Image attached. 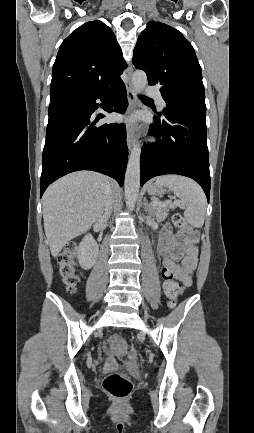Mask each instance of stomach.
Returning <instances> with one entry per match:
<instances>
[{"label":"stomach","instance_id":"obj_1","mask_svg":"<svg viewBox=\"0 0 254 433\" xmlns=\"http://www.w3.org/2000/svg\"><path fill=\"white\" fill-rule=\"evenodd\" d=\"M148 193L150 195H162L165 193V189L162 185L150 183L148 185Z\"/></svg>","mask_w":254,"mask_h":433}]
</instances>
